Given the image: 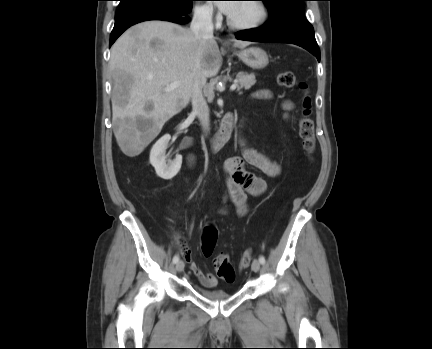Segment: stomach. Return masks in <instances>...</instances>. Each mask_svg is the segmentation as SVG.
Masks as SVG:
<instances>
[{
	"mask_svg": "<svg viewBox=\"0 0 432 349\" xmlns=\"http://www.w3.org/2000/svg\"><path fill=\"white\" fill-rule=\"evenodd\" d=\"M238 58L253 69H262L269 63L266 52L258 47H250L236 52Z\"/></svg>",
	"mask_w": 432,
	"mask_h": 349,
	"instance_id": "obj_1",
	"label": "stomach"
}]
</instances>
